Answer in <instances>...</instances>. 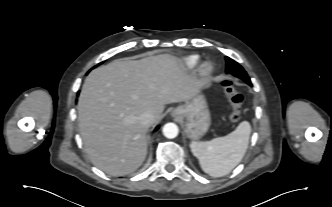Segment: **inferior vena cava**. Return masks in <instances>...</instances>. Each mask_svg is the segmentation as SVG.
<instances>
[{
  "label": "inferior vena cava",
  "mask_w": 332,
  "mask_h": 207,
  "mask_svg": "<svg viewBox=\"0 0 332 207\" xmlns=\"http://www.w3.org/2000/svg\"><path fill=\"white\" fill-rule=\"evenodd\" d=\"M139 119L142 125H144L145 127H149L153 124L155 117L152 112L147 111L142 113Z\"/></svg>",
  "instance_id": "obj_1"
}]
</instances>
